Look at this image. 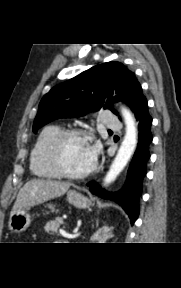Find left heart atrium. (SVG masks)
Wrapping results in <instances>:
<instances>
[{
  "label": "left heart atrium",
  "mask_w": 181,
  "mask_h": 288,
  "mask_svg": "<svg viewBox=\"0 0 181 288\" xmlns=\"http://www.w3.org/2000/svg\"><path fill=\"white\" fill-rule=\"evenodd\" d=\"M89 151H90L91 157L94 159V157H95V155H96V152H97L96 148H95V147H91V148L89 149Z\"/></svg>",
  "instance_id": "39dd6f15"
}]
</instances>
